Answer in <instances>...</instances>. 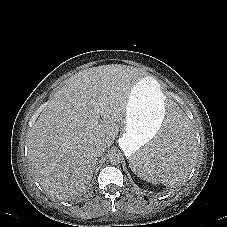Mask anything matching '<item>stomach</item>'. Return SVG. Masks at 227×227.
<instances>
[{
	"label": "stomach",
	"instance_id": "stomach-1",
	"mask_svg": "<svg viewBox=\"0 0 227 227\" xmlns=\"http://www.w3.org/2000/svg\"><path fill=\"white\" fill-rule=\"evenodd\" d=\"M165 119L166 98L159 83L152 76H139L130 92L121 136V147L128 160L155 137Z\"/></svg>",
	"mask_w": 227,
	"mask_h": 227
}]
</instances>
